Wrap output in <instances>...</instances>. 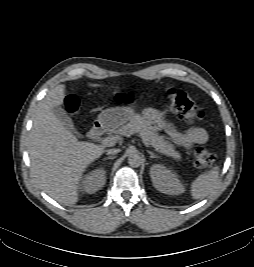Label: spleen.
<instances>
[{
  "instance_id": "3e777b00",
  "label": "spleen",
  "mask_w": 254,
  "mask_h": 267,
  "mask_svg": "<svg viewBox=\"0 0 254 267\" xmlns=\"http://www.w3.org/2000/svg\"><path fill=\"white\" fill-rule=\"evenodd\" d=\"M219 178V168L199 175L191 184V195L193 199H200L208 196L215 188Z\"/></svg>"
}]
</instances>
